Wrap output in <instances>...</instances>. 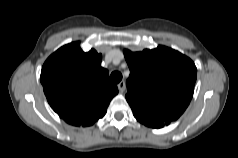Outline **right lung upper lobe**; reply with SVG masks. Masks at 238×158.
Masks as SVG:
<instances>
[{
	"mask_svg": "<svg viewBox=\"0 0 238 158\" xmlns=\"http://www.w3.org/2000/svg\"><path fill=\"white\" fill-rule=\"evenodd\" d=\"M102 55L83 52L79 42L67 44L44 63L40 80L53 110L67 123L90 126L102 118L118 93L109 72L100 66Z\"/></svg>",
	"mask_w": 238,
	"mask_h": 158,
	"instance_id": "obj_1",
	"label": "right lung upper lobe"
}]
</instances>
